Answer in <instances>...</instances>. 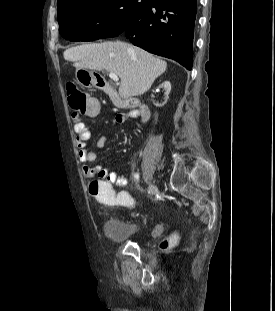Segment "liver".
Here are the masks:
<instances>
[{
    "instance_id": "6515ba94",
    "label": "liver",
    "mask_w": 275,
    "mask_h": 311,
    "mask_svg": "<svg viewBox=\"0 0 275 311\" xmlns=\"http://www.w3.org/2000/svg\"><path fill=\"white\" fill-rule=\"evenodd\" d=\"M63 55L77 69L106 70L118 75L122 99L147 92L167 68L165 61L121 41L84 44L65 50Z\"/></svg>"
}]
</instances>
